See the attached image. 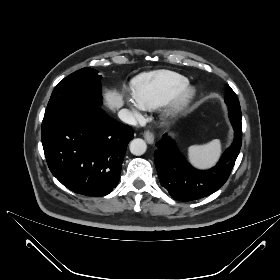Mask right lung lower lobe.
<instances>
[{
  "instance_id": "1",
  "label": "right lung lower lobe",
  "mask_w": 280,
  "mask_h": 280,
  "mask_svg": "<svg viewBox=\"0 0 280 280\" xmlns=\"http://www.w3.org/2000/svg\"><path fill=\"white\" fill-rule=\"evenodd\" d=\"M134 130L99 106L63 105L45 113L42 145L52 174L69 190L93 197L118 185Z\"/></svg>"
}]
</instances>
